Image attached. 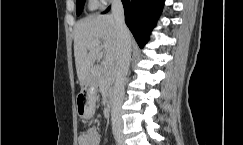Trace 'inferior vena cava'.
<instances>
[{
	"label": "inferior vena cava",
	"instance_id": "obj_1",
	"mask_svg": "<svg viewBox=\"0 0 243 145\" xmlns=\"http://www.w3.org/2000/svg\"><path fill=\"white\" fill-rule=\"evenodd\" d=\"M112 16L116 22L119 39V51L116 58L112 114L114 116H120L125 92L124 86L131 59V36L124 21V9L121 0L112 1Z\"/></svg>",
	"mask_w": 243,
	"mask_h": 145
}]
</instances>
